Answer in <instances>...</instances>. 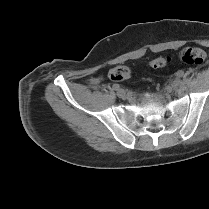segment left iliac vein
<instances>
[{
    "label": "left iliac vein",
    "mask_w": 209,
    "mask_h": 209,
    "mask_svg": "<svg viewBox=\"0 0 209 209\" xmlns=\"http://www.w3.org/2000/svg\"><path fill=\"white\" fill-rule=\"evenodd\" d=\"M181 83H182V82H181L180 79H178V78L175 79L174 82H173V84H172V88H173V89H176L178 86L181 85Z\"/></svg>",
    "instance_id": "4c4485c4"
}]
</instances>
